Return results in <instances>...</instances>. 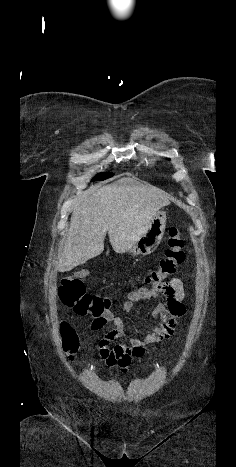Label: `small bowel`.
Segmentation results:
<instances>
[{
  "instance_id": "obj_1",
  "label": "small bowel",
  "mask_w": 236,
  "mask_h": 467,
  "mask_svg": "<svg viewBox=\"0 0 236 467\" xmlns=\"http://www.w3.org/2000/svg\"><path fill=\"white\" fill-rule=\"evenodd\" d=\"M161 295L165 297V303L156 304L152 310L153 317L160 319L159 323L142 338L129 336L125 332L123 320L110 310L93 319L91 329L94 331L102 330L108 322L113 324V329L104 335L98 346V354L107 366H118L125 373L134 362L143 358L149 347L175 334L178 320L186 314L182 303L185 297L184 284L179 277H173L167 283L150 289L134 288L123 302L122 310L128 313L135 303L156 299ZM114 341L119 343L111 348L110 344Z\"/></svg>"
}]
</instances>
